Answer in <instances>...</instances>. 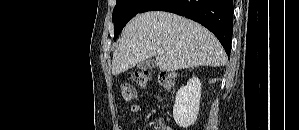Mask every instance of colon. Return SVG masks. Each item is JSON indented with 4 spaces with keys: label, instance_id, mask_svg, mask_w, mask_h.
Returning a JSON list of instances; mask_svg holds the SVG:
<instances>
[{
    "label": "colon",
    "instance_id": "1",
    "mask_svg": "<svg viewBox=\"0 0 299 130\" xmlns=\"http://www.w3.org/2000/svg\"><path fill=\"white\" fill-rule=\"evenodd\" d=\"M176 79L177 76L174 72L163 71L159 73L157 82L164 92L170 93L175 88ZM132 80V83H123L121 85V96L125 101L133 100L137 96L138 90L149 84L151 74L148 71H138L133 74ZM149 128L151 130H171L163 122L151 123Z\"/></svg>",
    "mask_w": 299,
    "mask_h": 130
}]
</instances>
